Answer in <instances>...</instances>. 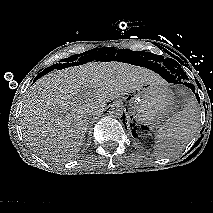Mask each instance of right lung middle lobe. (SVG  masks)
Masks as SVG:
<instances>
[{
	"label": "right lung middle lobe",
	"mask_w": 213,
	"mask_h": 213,
	"mask_svg": "<svg viewBox=\"0 0 213 213\" xmlns=\"http://www.w3.org/2000/svg\"><path fill=\"white\" fill-rule=\"evenodd\" d=\"M92 55V54H91ZM90 55V56H91ZM86 56H89V55H86ZM77 57H78V55H73V56H71V57H69V58H67V59H65V61H74V60H76L77 59Z\"/></svg>",
	"instance_id": "obj_1"
}]
</instances>
